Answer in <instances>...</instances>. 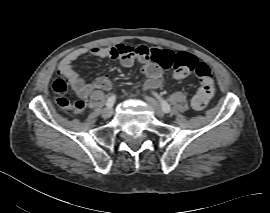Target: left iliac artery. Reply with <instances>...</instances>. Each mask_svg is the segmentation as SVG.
I'll return each mask as SVG.
<instances>
[{"mask_svg": "<svg viewBox=\"0 0 270 213\" xmlns=\"http://www.w3.org/2000/svg\"><path fill=\"white\" fill-rule=\"evenodd\" d=\"M155 96L159 99V101L161 102V106H162V110L165 112V113H169L171 111V107L170 105L165 101L163 100L160 96H158L156 93H155Z\"/></svg>", "mask_w": 270, "mask_h": 213, "instance_id": "44dca946", "label": "left iliac artery"}]
</instances>
